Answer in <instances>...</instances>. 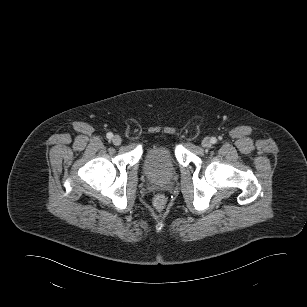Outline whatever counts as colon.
<instances>
[{"mask_svg": "<svg viewBox=\"0 0 307 307\" xmlns=\"http://www.w3.org/2000/svg\"><path fill=\"white\" fill-rule=\"evenodd\" d=\"M165 202H166L165 196L162 194H159L154 198V205L159 209L164 207Z\"/></svg>", "mask_w": 307, "mask_h": 307, "instance_id": "1", "label": "colon"}]
</instances>
